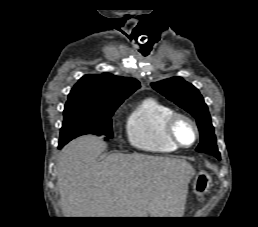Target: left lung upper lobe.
I'll return each instance as SVG.
<instances>
[{
  "label": "left lung upper lobe",
  "instance_id": "left-lung-upper-lobe-1",
  "mask_svg": "<svg viewBox=\"0 0 258 227\" xmlns=\"http://www.w3.org/2000/svg\"><path fill=\"white\" fill-rule=\"evenodd\" d=\"M151 85L156 91L189 112L196 119L200 131V144L196 151L212 154L220 159L211 117L199 91L180 77L169 78Z\"/></svg>",
  "mask_w": 258,
  "mask_h": 227
}]
</instances>
